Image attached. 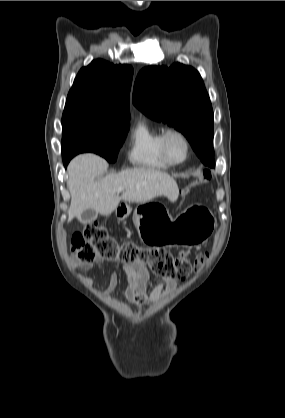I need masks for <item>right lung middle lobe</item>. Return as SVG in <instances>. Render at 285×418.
<instances>
[{"instance_id":"right-lung-middle-lobe-1","label":"right lung middle lobe","mask_w":285,"mask_h":418,"mask_svg":"<svg viewBox=\"0 0 285 418\" xmlns=\"http://www.w3.org/2000/svg\"><path fill=\"white\" fill-rule=\"evenodd\" d=\"M129 126L96 116L63 113V160L79 153L93 152L110 163L115 162Z\"/></svg>"}]
</instances>
